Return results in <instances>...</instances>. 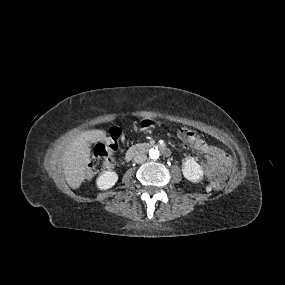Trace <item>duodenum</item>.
<instances>
[{
  "label": "duodenum",
  "instance_id": "obj_1",
  "mask_svg": "<svg viewBox=\"0 0 285 285\" xmlns=\"http://www.w3.org/2000/svg\"><path fill=\"white\" fill-rule=\"evenodd\" d=\"M150 148H157L159 149L164 156L168 157L170 155V150L168 147L162 144H151V143H139L132 147H130L125 153V160L132 159L135 155L145 152Z\"/></svg>",
  "mask_w": 285,
  "mask_h": 285
}]
</instances>
